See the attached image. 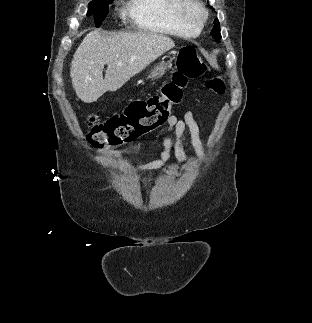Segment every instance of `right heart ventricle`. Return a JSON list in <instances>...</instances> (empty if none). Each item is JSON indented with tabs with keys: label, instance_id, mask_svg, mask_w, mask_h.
I'll list each match as a JSON object with an SVG mask.
<instances>
[{
	"label": "right heart ventricle",
	"instance_id": "obj_1",
	"mask_svg": "<svg viewBox=\"0 0 312 323\" xmlns=\"http://www.w3.org/2000/svg\"><path fill=\"white\" fill-rule=\"evenodd\" d=\"M186 5L176 0H131L126 20H134L135 29L152 33H196L197 22L188 18Z\"/></svg>",
	"mask_w": 312,
	"mask_h": 323
}]
</instances>
